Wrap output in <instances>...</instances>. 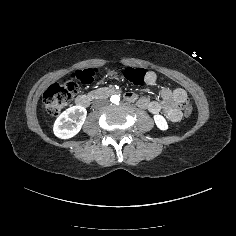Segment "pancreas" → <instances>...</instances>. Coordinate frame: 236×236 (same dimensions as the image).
<instances>
[{"mask_svg": "<svg viewBox=\"0 0 236 236\" xmlns=\"http://www.w3.org/2000/svg\"><path fill=\"white\" fill-rule=\"evenodd\" d=\"M89 95L90 96H93V97H96L95 95H96V91H91L90 93H89Z\"/></svg>", "mask_w": 236, "mask_h": 236, "instance_id": "obj_1", "label": "pancreas"}]
</instances>
